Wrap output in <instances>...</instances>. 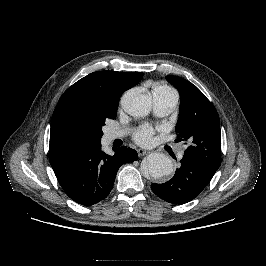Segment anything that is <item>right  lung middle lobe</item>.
<instances>
[{
    "label": "right lung middle lobe",
    "mask_w": 266,
    "mask_h": 266,
    "mask_svg": "<svg viewBox=\"0 0 266 266\" xmlns=\"http://www.w3.org/2000/svg\"><path fill=\"white\" fill-rule=\"evenodd\" d=\"M116 114L117 108H101L95 111L73 109L64 118L61 129L69 141L101 142L102 126L105 124V120L114 119Z\"/></svg>",
    "instance_id": "dd1d6c3e"
}]
</instances>
